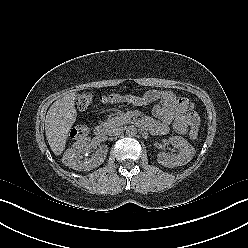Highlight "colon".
I'll return each mask as SVG.
<instances>
[{
  "mask_svg": "<svg viewBox=\"0 0 248 248\" xmlns=\"http://www.w3.org/2000/svg\"><path fill=\"white\" fill-rule=\"evenodd\" d=\"M129 96L120 94H111L101 98L103 103H116V102H126ZM93 101V95L91 93H82L77 96L76 104L80 110L87 109ZM89 132L87 125H77L71 130V136L73 138L85 137ZM198 136V126L193 125L189 130V137L191 139H196Z\"/></svg>",
  "mask_w": 248,
  "mask_h": 248,
  "instance_id": "1",
  "label": "colon"
}]
</instances>
